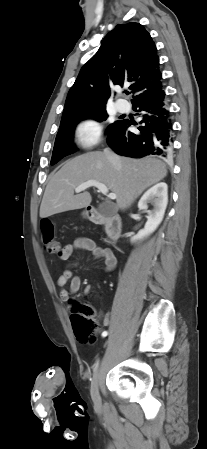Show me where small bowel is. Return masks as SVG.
<instances>
[{"mask_svg":"<svg viewBox=\"0 0 207 449\" xmlns=\"http://www.w3.org/2000/svg\"><path fill=\"white\" fill-rule=\"evenodd\" d=\"M90 251L98 264L105 267L107 271H111L116 267L117 261L113 253L104 247L97 246L96 243L86 237L76 238L72 243L64 245L58 252V256L62 260L69 259L74 251ZM78 265L77 261H74L71 265L66 267L63 272L58 276L56 284L59 288V296L63 302H67L71 295L77 293L81 287V280L78 276L73 275V268ZM91 292L90 287H86L84 293L89 295ZM71 306L68 305V308ZM109 314H101L100 322L104 326L110 324Z\"/></svg>","mask_w":207,"mask_h":449,"instance_id":"c3829d8e","label":"small bowel"}]
</instances>
